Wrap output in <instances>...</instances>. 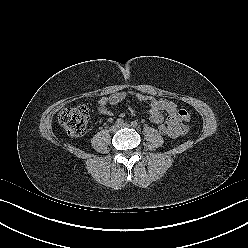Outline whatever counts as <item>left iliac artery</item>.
I'll return each mask as SVG.
<instances>
[{"label":"left iliac artery","instance_id":"1","mask_svg":"<svg viewBox=\"0 0 248 248\" xmlns=\"http://www.w3.org/2000/svg\"><path fill=\"white\" fill-rule=\"evenodd\" d=\"M131 125H132L133 127H136L138 124H137L136 121H133V122H131Z\"/></svg>","mask_w":248,"mask_h":248}]
</instances>
